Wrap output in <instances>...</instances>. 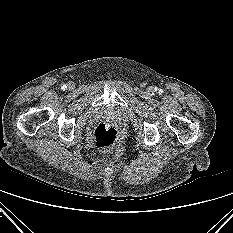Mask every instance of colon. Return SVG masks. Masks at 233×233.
Wrapping results in <instances>:
<instances>
[{
  "label": "colon",
  "mask_w": 233,
  "mask_h": 233,
  "mask_svg": "<svg viewBox=\"0 0 233 233\" xmlns=\"http://www.w3.org/2000/svg\"><path fill=\"white\" fill-rule=\"evenodd\" d=\"M118 139L117 130L111 125L100 123L93 131V140L97 148L110 149Z\"/></svg>",
  "instance_id": "obj_1"
}]
</instances>
